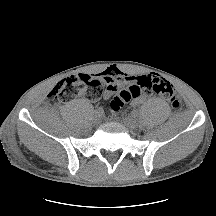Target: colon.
Here are the masks:
<instances>
[{"mask_svg":"<svg viewBox=\"0 0 216 216\" xmlns=\"http://www.w3.org/2000/svg\"><path fill=\"white\" fill-rule=\"evenodd\" d=\"M105 83L99 78L88 74H75L60 81L50 92V97L60 104L69 101L75 95H82L91 101L98 100L104 91ZM142 91L155 93L170 103L174 110L181 106L174 87L156 75H147L138 84L121 90L111 100L109 111H119L125 104L137 97Z\"/></svg>","mask_w":216,"mask_h":216,"instance_id":"obj_1","label":"colon"}]
</instances>
